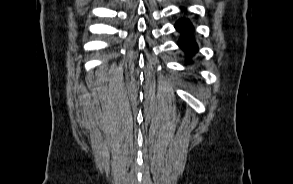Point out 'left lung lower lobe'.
<instances>
[{"instance_id":"left-lung-lower-lobe-1","label":"left lung lower lobe","mask_w":293,"mask_h":184,"mask_svg":"<svg viewBox=\"0 0 293 184\" xmlns=\"http://www.w3.org/2000/svg\"><path fill=\"white\" fill-rule=\"evenodd\" d=\"M175 28L182 34L179 40V46L188 53H195L197 51V44L192 36L193 26L187 20H179Z\"/></svg>"}]
</instances>
